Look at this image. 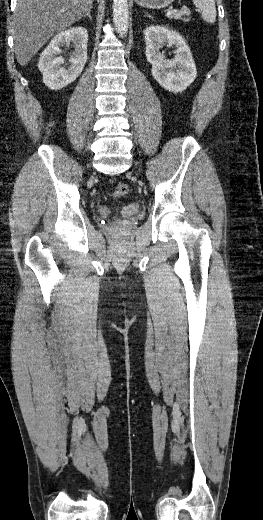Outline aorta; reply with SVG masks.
Returning <instances> with one entry per match:
<instances>
[{
    "instance_id": "obj_1",
    "label": "aorta",
    "mask_w": 263,
    "mask_h": 520,
    "mask_svg": "<svg viewBox=\"0 0 263 520\" xmlns=\"http://www.w3.org/2000/svg\"><path fill=\"white\" fill-rule=\"evenodd\" d=\"M113 22L116 32L123 37L129 25L128 0H113Z\"/></svg>"
}]
</instances>
